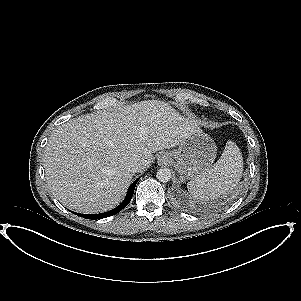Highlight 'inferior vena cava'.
<instances>
[{"instance_id":"obj_1","label":"inferior vena cava","mask_w":301,"mask_h":301,"mask_svg":"<svg viewBox=\"0 0 301 301\" xmlns=\"http://www.w3.org/2000/svg\"><path fill=\"white\" fill-rule=\"evenodd\" d=\"M142 169H143V166L139 163H132L131 165H129V171L131 173L140 172Z\"/></svg>"}]
</instances>
